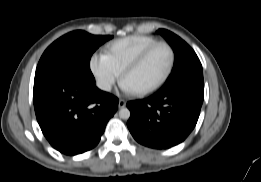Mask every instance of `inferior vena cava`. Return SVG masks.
I'll list each match as a JSON object with an SVG mask.
<instances>
[{
  "instance_id": "602c4592",
  "label": "inferior vena cava",
  "mask_w": 261,
  "mask_h": 182,
  "mask_svg": "<svg viewBox=\"0 0 261 182\" xmlns=\"http://www.w3.org/2000/svg\"><path fill=\"white\" fill-rule=\"evenodd\" d=\"M97 86L104 91H110L112 88V85L108 81H100L97 83Z\"/></svg>"
}]
</instances>
